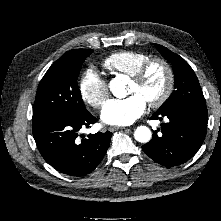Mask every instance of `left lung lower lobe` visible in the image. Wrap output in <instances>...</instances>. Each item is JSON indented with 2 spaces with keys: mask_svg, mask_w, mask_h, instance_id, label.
I'll return each mask as SVG.
<instances>
[{
  "mask_svg": "<svg viewBox=\"0 0 221 221\" xmlns=\"http://www.w3.org/2000/svg\"><path fill=\"white\" fill-rule=\"evenodd\" d=\"M206 105H185L170 111L155 112L151 119H169L162 123L161 133L154 131L153 139L142 146L143 151L157 163L173 167L188 161L201 147L207 131Z\"/></svg>",
  "mask_w": 221,
  "mask_h": 221,
  "instance_id": "0a47b994",
  "label": "left lung lower lobe"
}]
</instances>
